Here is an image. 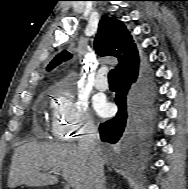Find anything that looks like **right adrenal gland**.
<instances>
[{
	"label": "right adrenal gland",
	"instance_id": "1",
	"mask_svg": "<svg viewBox=\"0 0 188 189\" xmlns=\"http://www.w3.org/2000/svg\"><path fill=\"white\" fill-rule=\"evenodd\" d=\"M105 184H106V178H104V179H103V185H102V189H106V186H105Z\"/></svg>",
	"mask_w": 188,
	"mask_h": 189
}]
</instances>
